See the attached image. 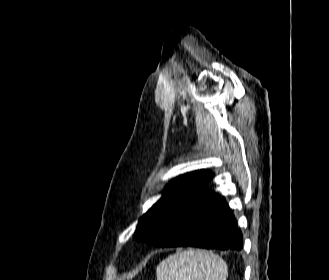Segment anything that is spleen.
<instances>
[{
  "label": "spleen",
  "instance_id": "1",
  "mask_svg": "<svg viewBox=\"0 0 329 280\" xmlns=\"http://www.w3.org/2000/svg\"><path fill=\"white\" fill-rule=\"evenodd\" d=\"M156 274L157 280H226L228 269L213 252L190 248L160 262Z\"/></svg>",
  "mask_w": 329,
  "mask_h": 280
}]
</instances>
